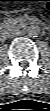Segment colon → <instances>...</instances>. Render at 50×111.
Returning <instances> with one entry per match:
<instances>
[{"label": "colon", "mask_w": 50, "mask_h": 111, "mask_svg": "<svg viewBox=\"0 0 50 111\" xmlns=\"http://www.w3.org/2000/svg\"><path fill=\"white\" fill-rule=\"evenodd\" d=\"M41 1H42V0H41ZM45 6H46V8H48V7H49V5H48V4H46Z\"/></svg>", "instance_id": "5ec220e1"}]
</instances>
